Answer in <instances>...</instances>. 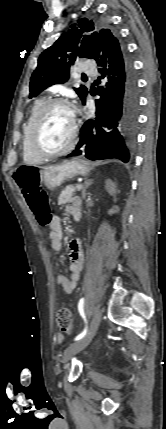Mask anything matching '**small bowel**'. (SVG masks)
<instances>
[{"instance_id": "obj_1", "label": "small bowel", "mask_w": 166, "mask_h": 429, "mask_svg": "<svg viewBox=\"0 0 166 429\" xmlns=\"http://www.w3.org/2000/svg\"><path fill=\"white\" fill-rule=\"evenodd\" d=\"M67 212L73 216H80L81 201L78 198H73L67 205ZM50 247L54 252H59L62 248V226L58 216H54L50 222ZM70 264L57 276V283L67 293L71 294L76 288L80 273L83 269L84 254L80 240L74 239L70 242ZM58 343L64 342L62 333L56 334Z\"/></svg>"}]
</instances>
